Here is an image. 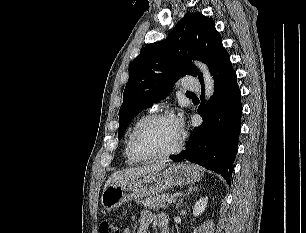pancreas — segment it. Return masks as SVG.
Segmentation results:
<instances>
[{
    "mask_svg": "<svg viewBox=\"0 0 306 233\" xmlns=\"http://www.w3.org/2000/svg\"><path fill=\"white\" fill-rule=\"evenodd\" d=\"M174 196H169L168 194L157 195L154 197H148L141 201V204L146 208L165 209L168 204H166L167 200L173 198Z\"/></svg>",
    "mask_w": 306,
    "mask_h": 233,
    "instance_id": "cf45deb5",
    "label": "pancreas"
}]
</instances>
